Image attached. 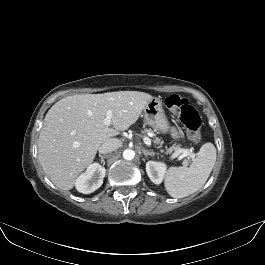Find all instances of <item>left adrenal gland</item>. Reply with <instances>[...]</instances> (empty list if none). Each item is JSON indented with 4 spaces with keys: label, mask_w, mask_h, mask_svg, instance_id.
<instances>
[{
    "label": "left adrenal gland",
    "mask_w": 265,
    "mask_h": 265,
    "mask_svg": "<svg viewBox=\"0 0 265 265\" xmlns=\"http://www.w3.org/2000/svg\"><path fill=\"white\" fill-rule=\"evenodd\" d=\"M142 153L144 154V156H148V155L153 156L154 155L153 151L145 150L144 148L142 149Z\"/></svg>",
    "instance_id": "a2214340"
}]
</instances>
